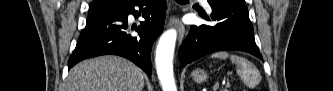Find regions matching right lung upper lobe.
I'll list each match as a JSON object with an SVG mask.
<instances>
[{"label":"right lung upper lobe","instance_id":"1","mask_svg":"<svg viewBox=\"0 0 333 91\" xmlns=\"http://www.w3.org/2000/svg\"><path fill=\"white\" fill-rule=\"evenodd\" d=\"M120 2L121 5L120 6H116V7H103L99 10H91V12H97V11H107V10H115V9H120L122 7L127 6L128 4H130L133 0H94V3H98V4H103V5H107L111 2Z\"/></svg>","mask_w":333,"mask_h":91}]
</instances>
